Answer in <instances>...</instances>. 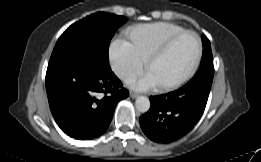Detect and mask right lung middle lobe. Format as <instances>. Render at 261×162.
Instances as JSON below:
<instances>
[{"label":"right lung middle lobe","mask_w":261,"mask_h":162,"mask_svg":"<svg viewBox=\"0 0 261 162\" xmlns=\"http://www.w3.org/2000/svg\"><path fill=\"white\" fill-rule=\"evenodd\" d=\"M126 21L123 16L98 12L71 25L58 39L51 58L88 52L104 61L116 30Z\"/></svg>","instance_id":"1"}]
</instances>
